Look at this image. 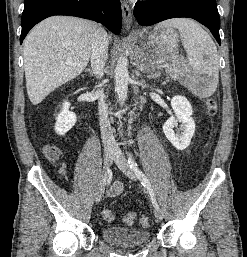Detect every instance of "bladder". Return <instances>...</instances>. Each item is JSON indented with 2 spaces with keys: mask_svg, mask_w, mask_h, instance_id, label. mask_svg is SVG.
Masks as SVG:
<instances>
[{
  "mask_svg": "<svg viewBox=\"0 0 247 257\" xmlns=\"http://www.w3.org/2000/svg\"><path fill=\"white\" fill-rule=\"evenodd\" d=\"M104 241L116 246H138L151 239L149 230L130 229L119 226L105 227L101 231Z\"/></svg>",
  "mask_w": 247,
  "mask_h": 257,
  "instance_id": "obj_1",
  "label": "bladder"
}]
</instances>
